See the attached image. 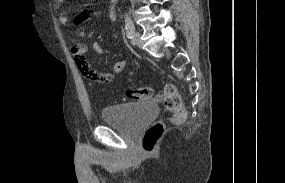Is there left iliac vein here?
I'll list each match as a JSON object with an SVG mask.
<instances>
[{"label": "left iliac vein", "instance_id": "4c4485c4", "mask_svg": "<svg viewBox=\"0 0 285 183\" xmlns=\"http://www.w3.org/2000/svg\"><path fill=\"white\" fill-rule=\"evenodd\" d=\"M140 37L141 34L139 32H134L132 38H131V42L133 45H138L140 42Z\"/></svg>", "mask_w": 285, "mask_h": 183}]
</instances>
